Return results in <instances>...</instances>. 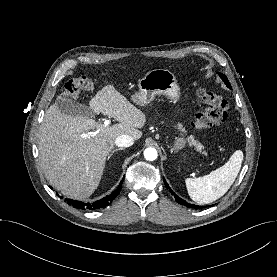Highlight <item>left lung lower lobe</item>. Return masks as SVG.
<instances>
[{"mask_svg": "<svg viewBox=\"0 0 277 277\" xmlns=\"http://www.w3.org/2000/svg\"><path fill=\"white\" fill-rule=\"evenodd\" d=\"M164 183L165 185L169 188V191L175 196V200L177 203L187 206L189 208H193V209H198V208H204L205 206H198V205H193V204H189L186 201H184L183 199H181L180 197H178L168 186V184L166 183L165 179H164Z\"/></svg>", "mask_w": 277, "mask_h": 277, "instance_id": "obj_1", "label": "left lung lower lobe"}]
</instances>
